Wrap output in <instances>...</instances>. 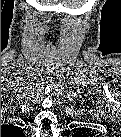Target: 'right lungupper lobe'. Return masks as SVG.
Masks as SVG:
<instances>
[{
  "instance_id": "obj_1",
  "label": "right lung upper lobe",
  "mask_w": 121,
  "mask_h": 137,
  "mask_svg": "<svg viewBox=\"0 0 121 137\" xmlns=\"http://www.w3.org/2000/svg\"><path fill=\"white\" fill-rule=\"evenodd\" d=\"M4 127L7 129V128H12L13 126H12V125H9V126H8V125H7V126L5 125Z\"/></svg>"
}]
</instances>
